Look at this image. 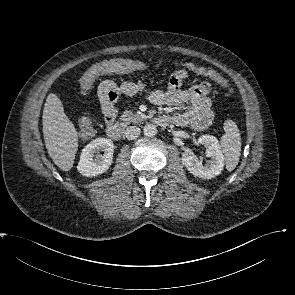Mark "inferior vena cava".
I'll use <instances>...</instances> for the list:
<instances>
[{
    "mask_svg": "<svg viewBox=\"0 0 295 295\" xmlns=\"http://www.w3.org/2000/svg\"><path fill=\"white\" fill-rule=\"evenodd\" d=\"M140 128L137 126H129L128 128H126L124 134L125 137L129 140H133L139 137L140 135Z\"/></svg>",
    "mask_w": 295,
    "mask_h": 295,
    "instance_id": "obj_1",
    "label": "inferior vena cava"
}]
</instances>
